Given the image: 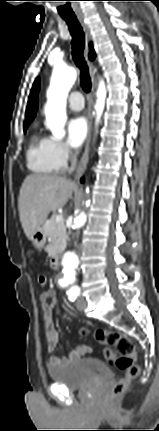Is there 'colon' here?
<instances>
[{
  "mask_svg": "<svg viewBox=\"0 0 159 431\" xmlns=\"http://www.w3.org/2000/svg\"><path fill=\"white\" fill-rule=\"evenodd\" d=\"M55 295V287L49 286L48 302L50 304L56 301ZM81 334L88 335V329L82 328ZM93 336L99 343L106 346L103 348V353L105 359H107L108 366L115 364L118 369L124 372V376L115 382L110 389V397L116 398L125 391L128 384L139 374V369L134 364L136 358L134 342L123 334L107 329H97L93 332Z\"/></svg>",
  "mask_w": 159,
  "mask_h": 431,
  "instance_id": "1",
  "label": "colon"
}]
</instances>
